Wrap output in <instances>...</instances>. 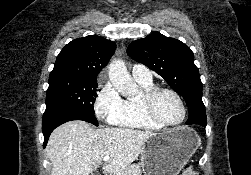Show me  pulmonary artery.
<instances>
[{
	"label": "pulmonary artery",
	"instance_id": "obj_1",
	"mask_svg": "<svg viewBox=\"0 0 251 175\" xmlns=\"http://www.w3.org/2000/svg\"><path fill=\"white\" fill-rule=\"evenodd\" d=\"M142 63L138 62L137 66H134L132 68V77L135 81L141 82V83H152L153 76L151 71L146 67H141Z\"/></svg>",
	"mask_w": 251,
	"mask_h": 175
}]
</instances>
